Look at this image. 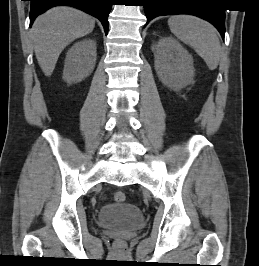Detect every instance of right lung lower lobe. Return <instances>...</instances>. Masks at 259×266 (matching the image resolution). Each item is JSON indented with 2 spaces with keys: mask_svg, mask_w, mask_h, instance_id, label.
I'll list each match as a JSON object with an SVG mask.
<instances>
[{
  "mask_svg": "<svg viewBox=\"0 0 259 266\" xmlns=\"http://www.w3.org/2000/svg\"><path fill=\"white\" fill-rule=\"evenodd\" d=\"M30 26L34 19L57 5H67L85 11L88 14L98 18L104 27L105 33H108V15L111 11L113 0H30Z\"/></svg>",
  "mask_w": 259,
  "mask_h": 266,
  "instance_id": "1",
  "label": "right lung lower lobe"
}]
</instances>
